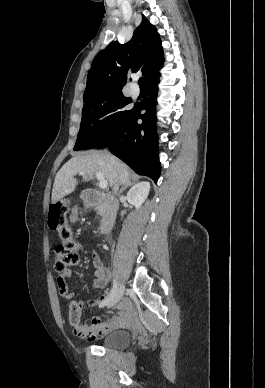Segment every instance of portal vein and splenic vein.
<instances>
[{"label":"portal vein and splenic vein","instance_id":"1","mask_svg":"<svg viewBox=\"0 0 265 388\" xmlns=\"http://www.w3.org/2000/svg\"><path fill=\"white\" fill-rule=\"evenodd\" d=\"M80 176H84V172H80ZM96 178L99 180V188H108V182L101 172H97Z\"/></svg>","mask_w":265,"mask_h":388}]
</instances>
